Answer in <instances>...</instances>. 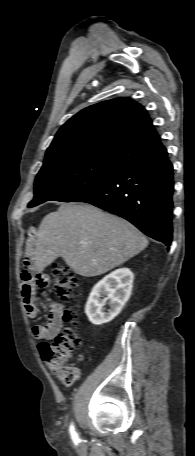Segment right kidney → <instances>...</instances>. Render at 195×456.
Listing matches in <instances>:
<instances>
[{
    "label": "right kidney",
    "mask_w": 195,
    "mask_h": 456,
    "mask_svg": "<svg viewBox=\"0 0 195 456\" xmlns=\"http://www.w3.org/2000/svg\"><path fill=\"white\" fill-rule=\"evenodd\" d=\"M134 275L128 268L117 269L106 275L92 289L85 306V313L94 325L113 320L131 295ZM110 308L105 311L104 306Z\"/></svg>",
    "instance_id": "1"
}]
</instances>
